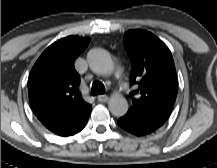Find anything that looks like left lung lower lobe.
Wrapping results in <instances>:
<instances>
[{
	"mask_svg": "<svg viewBox=\"0 0 217 168\" xmlns=\"http://www.w3.org/2000/svg\"><path fill=\"white\" fill-rule=\"evenodd\" d=\"M118 125L125 131L136 135L145 136L157 131L160 127H155L140 122H136L129 118L128 116H123L118 119Z\"/></svg>",
	"mask_w": 217,
	"mask_h": 168,
	"instance_id": "left-lung-lower-lobe-1",
	"label": "left lung lower lobe"
}]
</instances>
